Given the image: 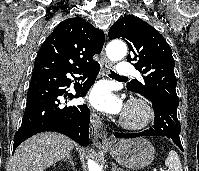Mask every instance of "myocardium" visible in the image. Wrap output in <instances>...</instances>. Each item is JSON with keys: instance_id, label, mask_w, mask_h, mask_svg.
Returning <instances> with one entry per match:
<instances>
[{"instance_id": "myocardium-1", "label": "myocardium", "mask_w": 199, "mask_h": 171, "mask_svg": "<svg viewBox=\"0 0 199 171\" xmlns=\"http://www.w3.org/2000/svg\"><path fill=\"white\" fill-rule=\"evenodd\" d=\"M154 118L150 103L141 98H133L127 104L121 124L128 130H140L148 126Z\"/></svg>"}]
</instances>
